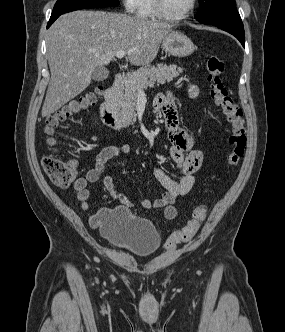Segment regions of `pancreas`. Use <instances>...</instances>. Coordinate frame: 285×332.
I'll return each instance as SVG.
<instances>
[{
    "label": "pancreas",
    "instance_id": "pancreas-1",
    "mask_svg": "<svg viewBox=\"0 0 285 332\" xmlns=\"http://www.w3.org/2000/svg\"><path fill=\"white\" fill-rule=\"evenodd\" d=\"M182 72L183 69L177 68L176 65L157 64V66L147 65L134 73H129L118 99V108L122 119L127 124L135 122V107L141 89L153 87L155 82L158 84L170 82Z\"/></svg>",
    "mask_w": 285,
    "mask_h": 332
}]
</instances>
